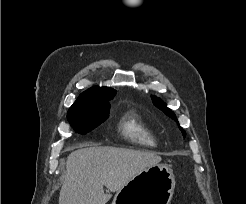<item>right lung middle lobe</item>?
<instances>
[{
    "label": "right lung middle lobe",
    "mask_w": 246,
    "mask_h": 204,
    "mask_svg": "<svg viewBox=\"0 0 246 204\" xmlns=\"http://www.w3.org/2000/svg\"><path fill=\"white\" fill-rule=\"evenodd\" d=\"M113 97L97 98L85 105L70 107L67 118L74 130L80 134H86L106 121L109 117V100Z\"/></svg>",
    "instance_id": "dd1d6c3e"
}]
</instances>
